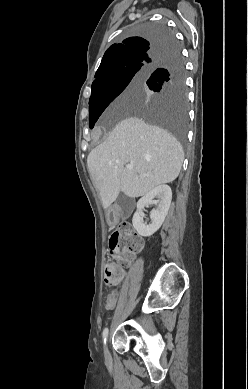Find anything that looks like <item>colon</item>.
<instances>
[{"label": "colon", "mask_w": 248, "mask_h": 389, "mask_svg": "<svg viewBox=\"0 0 248 389\" xmlns=\"http://www.w3.org/2000/svg\"><path fill=\"white\" fill-rule=\"evenodd\" d=\"M141 247L139 237L129 225H123L114 232L109 240L108 250L112 257L120 258L121 261H132L133 253ZM123 276L122 269L115 263L109 262L105 266V280L115 286Z\"/></svg>", "instance_id": "1"}]
</instances>
